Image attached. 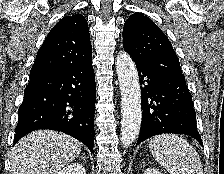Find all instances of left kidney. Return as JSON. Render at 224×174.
<instances>
[{
    "mask_svg": "<svg viewBox=\"0 0 224 174\" xmlns=\"http://www.w3.org/2000/svg\"><path fill=\"white\" fill-rule=\"evenodd\" d=\"M144 174H162V173L155 168H147L144 171Z\"/></svg>",
    "mask_w": 224,
    "mask_h": 174,
    "instance_id": "left-kidney-1",
    "label": "left kidney"
}]
</instances>
